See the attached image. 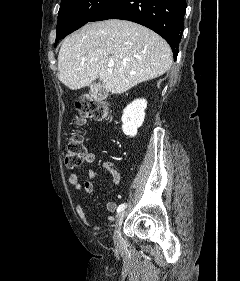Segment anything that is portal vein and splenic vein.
I'll list each match as a JSON object with an SVG mask.
<instances>
[{"label": "portal vein and splenic vein", "mask_w": 240, "mask_h": 281, "mask_svg": "<svg viewBox=\"0 0 240 281\" xmlns=\"http://www.w3.org/2000/svg\"><path fill=\"white\" fill-rule=\"evenodd\" d=\"M113 65H114L113 62H109V63H108V67H109L110 70H111V68H112Z\"/></svg>", "instance_id": "obj_1"}]
</instances>
